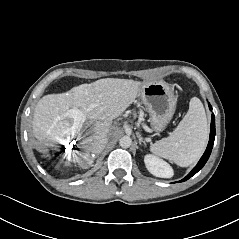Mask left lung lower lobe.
Wrapping results in <instances>:
<instances>
[{"label": "left lung lower lobe", "instance_id": "1", "mask_svg": "<svg viewBox=\"0 0 239 239\" xmlns=\"http://www.w3.org/2000/svg\"><path fill=\"white\" fill-rule=\"evenodd\" d=\"M209 109L212 110V107L210 104H209ZM214 139H215V116L212 113L210 138H209V143L206 148V151L204 152L203 156L199 160L198 164L193 168V170L180 182L188 180L190 177L195 175L199 170H201L203 168V166L205 165V163L207 162V160L211 154L213 144H214Z\"/></svg>", "mask_w": 239, "mask_h": 239}]
</instances>
